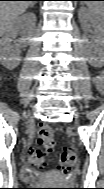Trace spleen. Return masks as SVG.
<instances>
[{"label": "spleen", "mask_w": 104, "mask_h": 189, "mask_svg": "<svg viewBox=\"0 0 104 189\" xmlns=\"http://www.w3.org/2000/svg\"><path fill=\"white\" fill-rule=\"evenodd\" d=\"M88 8L94 13H103V2L102 1H86Z\"/></svg>", "instance_id": "3e777b00"}]
</instances>
